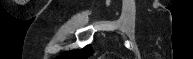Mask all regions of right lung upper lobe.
<instances>
[{
	"label": "right lung upper lobe",
	"instance_id": "right-lung-upper-lobe-1",
	"mask_svg": "<svg viewBox=\"0 0 193 59\" xmlns=\"http://www.w3.org/2000/svg\"><path fill=\"white\" fill-rule=\"evenodd\" d=\"M92 48L91 46H87L82 49L79 53L76 52H68L66 56L62 59H86L91 54Z\"/></svg>",
	"mask_w": 193,
	"mask_h": 59
}]
</instances>
